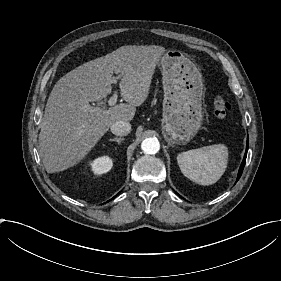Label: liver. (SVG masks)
<instances>
[{
	"label": "liver",
	"mask_w": 281,
	"mask_h": 281,
	"mask_svg": "<svg viewBox=\"0 0 281 281\" xmlns=\"http://www.w3.org/2000/svg\"><path fill=\"white\" fill-rule=\"evenodd\" d=\"M162 46H122L86 62L54 85L40 123L39 145L48 173L73 167L92 150L117 121H131L147 99ZM113 73L119 74L123 100L108 109L102 102L111 92ZM97 102L95 112L83 107Z\"/></svg>",
	"instance_id": "6515ba94"
}]
</instances>
